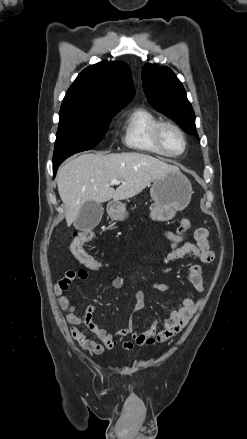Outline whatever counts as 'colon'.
I'll use <instances>...</instances> for the list:
<instances>
[{"mask_svg": "<svg viewBox=\"0 0 247 439\" xmlns=\"http://www.w3.org/2000/svg\"><path fill=\"white\" fill-rule=\"evenodd\" d=\"M191 226V222L188 219H183L180 221L177 233L181 236L183 235ZM93 238V232L91 230H78L73 234L72 242L70 245V250L75 258L87 269L98 270L101 267L100 262L89 254L85 249L84 245L91 241ZM178 246L177 243H173V249ZM77 275L80 278L86 277L85 270H79Z\"/></svg>", "mask_w": 247, "mask_h": 439, "instance_id": "colon-1", "label": "colon"}]
</instances>
